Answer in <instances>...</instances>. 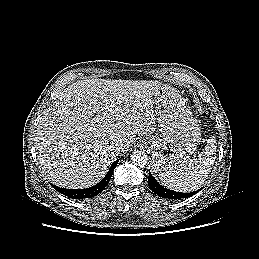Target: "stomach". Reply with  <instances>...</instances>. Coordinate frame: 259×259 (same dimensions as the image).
<instances>
[{
	"mask_svg": "<svg viewBox=\"0 0 259 259\" xmlns=\"http://www.w3.org/2000/svg\"><path fill=\"white\" fill-rule=\"evenodd\" d=\"M159 137L146 138L154 172L168 173L179 169L194 153L200 142V128L179 91L160 86L155 96Z\"/></svg>",
	"mask_w": 259,
	"mask_h": 259,
	"instance_id": "1",
	"label": "stomach"
}]
</instances>
